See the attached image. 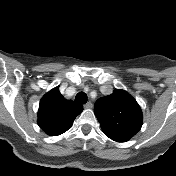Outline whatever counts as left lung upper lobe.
<instances>
[{
	"label": "left lung upper lobe",
	"mask_w": 176,
	"mask_h": 176,
	"mask_svg": "<svg viewBox=\"0 0 176 176\" xmlns=\"http://www.w3.org/2000/svg\"><path fill=\"white\" fill-rule=\"evenodd\" d=\"M94 113L106 136L117 142H126L142 127V111L136 100L124 90L99 98Z\"/></svg>",
	"instance_id": "left-lung-upper-lobe-1"
}]
</instances>
